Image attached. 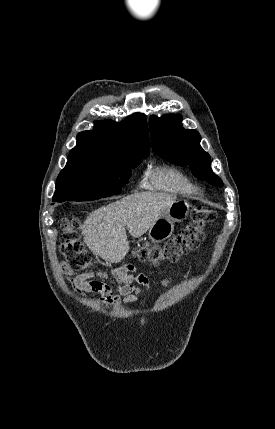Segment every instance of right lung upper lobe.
Returning a JSON list of instances; mask_svg holds the SVG:
<instances>
[{
  "label": "right lung upper lobe",
  "mask_w": 275,
  "mask_h": 429,
  "mask_svg": "<svg viewBox=\"0 0 275 429\" xmlns=\"http://www.w3.org/2000/svg\"><path fill=\"white\" fill-rule=\"evenodd\" d=\"M150 142L144 114L135 113L121 123L97 121L94 130L77 135L68 161L112 159L126 154H148Z\"/></svg>",
  "instance_id": "cb5924a9"
}]
</instances>
